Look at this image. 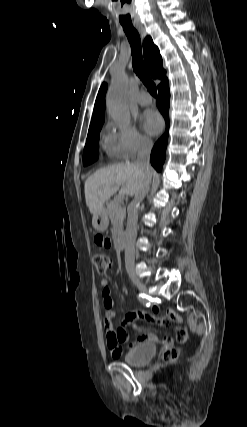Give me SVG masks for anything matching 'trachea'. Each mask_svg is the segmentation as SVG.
I'll list each match as a JSON object with an SVG mask.
<instances>
[{
  "label": "trachea",
  "mask_w": 247,
  "mask_h": 427,
  "mask_svg": "<svg viewBox=\"0 0 247 427\" xmlns=\"http://www.w3.org/2000/svg\"><path fill=\"white\" fill-rule=\"evenodd\" d=\"M124 32L130 42L131 46V54H132V64L135 73L142 80L144 85L146 86L149 93L157 97V88L155 83L149 77V74L144 65L143 57H142V47L141 40L137 30L131 25H123Z\"/></svg>",
  "instance_id": "trachea-1"
}]
</instances>
